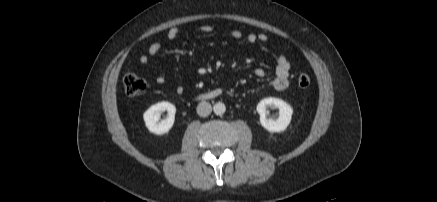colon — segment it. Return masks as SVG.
Returning <instances> with one entry per match:
<instances>
[{
  "instance_id": "colon-1",
  "label": "colon",
  "mask_w": 437,
  "mask_h": 202,
  "mask_svg": "<svg viewBox=\"0 0 437 202\" xmlns=\"http://www.w3.org/2000/svg\"><path fill=\"white\" fill-rule=\"evenodd\" d=\"M124 90L128 96H136L145 91L147 83L145 79L135 73H128L124 77ZM298 86L306 89L311 85V78L309 75L302 73L298 76Z\"/></svg>"
}]
</instances>
